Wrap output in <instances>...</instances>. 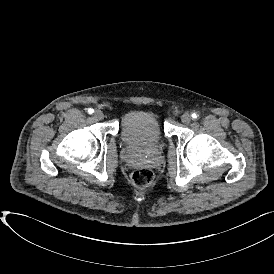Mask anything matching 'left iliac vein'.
I'll use <instances>...</instances> for the list:
<instances>
[{"mask_svg": "<svg viewBox=\"0 0 274 274\" xmlns=\"http://www.w3.org/2000/svg\"><path fill=\"white\" fill-rule=\"evenodd\" d=\"M181 120L184 124H189L192 120V117L189 113H184L182 116H181Z\"/></svg>", "mask_w": 274, "mask_h": 274, "instance_id": "left-iliac-vein-1", "label": "left iliac vein"}]
</instances>
